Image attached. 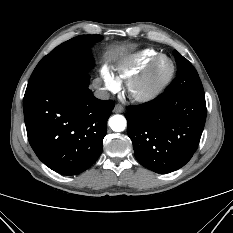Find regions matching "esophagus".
Instances as JSON below:
<instances>
[{
    "instance_id": "1",
    "label": "esophagus",
    "mask_w": 233,
    "mask_h": 233,
    "mask_svg": "<svg viewBox=\"0 0 233 233\" xmlns=\"http://www.w3.org/2000/svg\"><path fill=\"white\" fill-rule=\"evenodd\" d=\"M124 111V108L121 104H116L114 107V112L115 113H122Z\"/></svg>"
}]
</instances>
